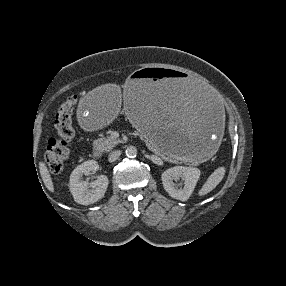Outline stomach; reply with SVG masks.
I'll return each instance as SVG.
<instances>
[{"mask_svg":"<svg viewBox=\"0 0 286 286\" xmlns=\"http://www.w3.org/2000/svg\"><path fill=\"white\" fill-rule=\"evenodd\" d=\"M123 112L149 144L186 162L209 158L221 141L220 98L210 85L184 73L145 67L132 75L125 93L102 84L75 106L77 120L90 130L105 128Z\"/></svg>","mask_w":286,"mask_h":286,"instance_id":"1","label":"stomach"}]
</instances>
